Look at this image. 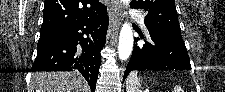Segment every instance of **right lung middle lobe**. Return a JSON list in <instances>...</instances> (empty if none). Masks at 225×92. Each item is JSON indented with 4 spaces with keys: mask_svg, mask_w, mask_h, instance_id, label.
Masks as SVG:
<instances>
[{
    "mask_svg": "<svg viewBox=\"0 0 225 92\" xmlns=\"http://www.w3.org/2000/svg\"><path fill=\"white\" fill-rule=\"evenodd\" d=\"M62 29H42L40 30V39L48 38L55 35H61Z\"/></svg>",
    "mask_w": 225,
    "mask_h": 92,
    "instance_id": "dd1d6c3e",
    "label": "right lung middle lobe"
}]
</instances>
